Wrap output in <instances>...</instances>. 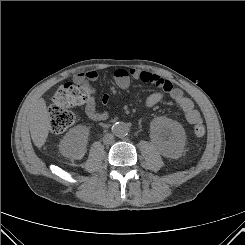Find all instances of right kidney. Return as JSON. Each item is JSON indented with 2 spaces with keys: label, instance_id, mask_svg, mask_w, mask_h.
I'll list each match as a JSON object with an SVG mask.
<instances>
[{
  "label": "right kidney",
  "instance_id": "obj_1",
  "mask_svg": "<svg viewBox=\"0 0 245 245\" xmlns=\"http://www.w3.org/2000/svg\"><path fill=\"white\" fill-rule=\"evenodd\" d=\"M88 137V127L78 125L71 128L60 142L61 154L69 158H82L86 151Z\"/></svg>",
  "mask_w": 245,
  "mask_h": 245
}]
</instances>
